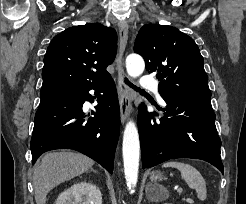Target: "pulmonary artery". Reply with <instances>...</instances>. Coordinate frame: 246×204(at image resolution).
Masks as SVG:
<instances>
[{
    "label": "pulmonary artery",
    "mask_w": 246,
    "mask_h": 204,
    "mask_svg": "<svg viewBox=\"0 0 246 204\" xmlns=\"http://www.w3.org/2000/svg\"><path fill=\"white\" fill-rule=\"evenodd\" d=\"M140 85L143 89L155 92L157 94L158 99L161 102H163V99L161 98V96L158 93L157 81L154 78H152L151 76H148V75L143 76L141 78Z\"/></svg>",
    "instance_id": "pulmonary-artery-1"
}]
</instances>
